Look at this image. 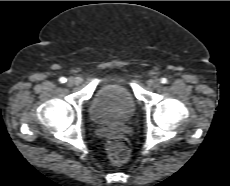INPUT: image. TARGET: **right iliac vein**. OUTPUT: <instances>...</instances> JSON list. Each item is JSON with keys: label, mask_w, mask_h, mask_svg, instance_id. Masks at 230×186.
Masks as SVG:
<instances>
[{"label": "right iliac vein", "mask_w": 230, "mask_h": 186, "mask_svg": "<svg viewBox=\"0 0 230 186\" xmlns=\"http://www.w3.org/2000/svg\"><path fill=\"white\" fill-rule=\"evenodd\" d=\"M78 83H79V80H77L75 78H69L67 81L68 86H73V85L78 84Z\"/></svg>", "instance_id": "1"}]
</instances>
